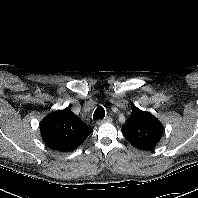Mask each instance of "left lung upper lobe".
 <instances>
[{"label": "left lung upper lobe", "instance_id": "5c2ea615", "mask_svg": "<svg viewBox=\"0 0 198 198\" xmlns=\"http://www.w3.org/2000/svg\"><path fill=\"white\" fill-rule=\"evenodd\" d=\"M125 139L135 148L153 149L163 134V125L151 113L133 107L131 116L123 126Z\"/></svg>", "mask_w": 198, "mask_h": 198}]
</instances>
